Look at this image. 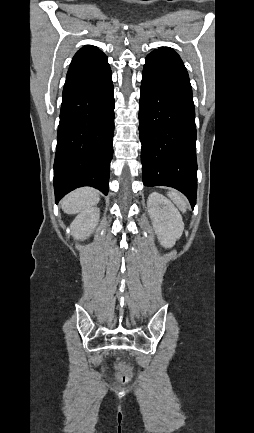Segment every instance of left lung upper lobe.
<instances>
[{"label": "left lung upper lobe", "mask_w": 254, "mask_h": 433, "mask_svg": "<svg viewBox=\"0 0 254 433\" xmlns=\"http://www.w3.org/2000/svg\"><path fill=\"white\" fill-rule=\"evenodd\" d=\"M153 52L167 53V54L173 55L177 58H180L178 56V54L173 49H171L169 47H160L159 49H156Z\"/></svg>", "instance_id": "1"}]
</instances>
